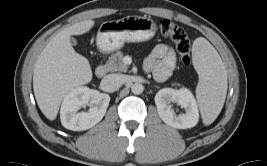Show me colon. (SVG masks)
Masks as SVG:
<instances>
[{"label": "colon", "mask_w": 267, "mask_h": 166, "mask_svg": "<svg viewBox=\"0 0 267 166\" xmlns=\"http://www.w3.org/2000/svg\"><path fill=\"white\" fill-rule=\"evenodd\" d=\"M159 32L175 42L182 63L188 66L191 62V43L186 31L169 19H161L159 21Z\"/></svg>", "instance_id": "obj_1"}]
</instances>
